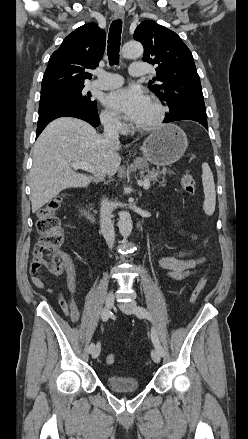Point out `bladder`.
Segmentation results:
<instances>
[{
    "instance_id": "obj_1",
    "label": "bladder",
    "mask_w": 248,
    "mask_h": 439,
    "mask_svg": "<svg viewBox=\"0 0 248 439\" xmlns=\"http://www.w3.org/2000/svg\"><path fill=\"white\" fill-rule=\"evenodd\" d=\"M106 384L109 389L115 392H134L141 388L136 378L119 374L107 375Z\"/></svg>"
}]
</instances>
